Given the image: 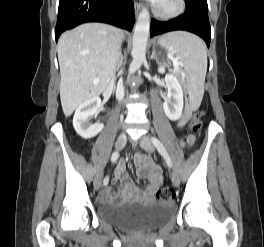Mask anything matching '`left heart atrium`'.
<instances>
[{
    "instance_id": "obj_1",
    "label": "left heart atrium",
    "mask_w": 264,
    "mask_h": 247,
    "mask_svg": "<svg viewBox=\"0 0 264 247\" xmlns=\"http://www.w3.org/2000/svg\"><path fill=\"white\" fill-rule=\"evenodd\" d=\"M153 3L158 4L161 0H151Z\"/></svg>"
}]
</instances>
